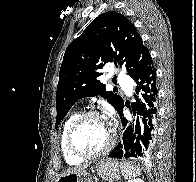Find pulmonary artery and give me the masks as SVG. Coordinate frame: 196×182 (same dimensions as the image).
<instances>
[{"mask_svg":"<svg viewBox=\"0 0 196 182\" xmlns=\"http://www.w3.org/2000/svg\"><path fill=\"white\" fill-rule=\"evenodd\" d=\"M117 78H118L119 83H120L123 87H126V91H127L128 93H130V92H131V89H130V87H129L130 84H131L130 78H129L127 75L123 74V73L118 74Z\"/></svg>","mask_w":196,"mask_h":182,"instance_id":"obj_1","label":"pulmonary artery"}]
</instances>
